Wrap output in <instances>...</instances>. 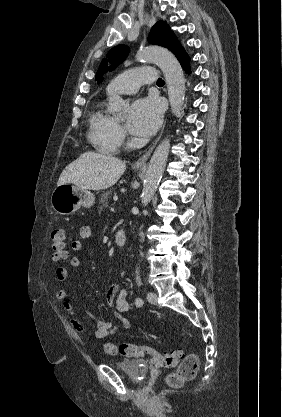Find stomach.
<instances>
[{
  "label": "stomach",
  "mask_w": 282,
  "mask_h": 417,
  "mask_svg": "<svg viewBox=\"0 0 282 417\" xmlns=\"http://www.w3.org/2000/svg\"><path fill=\"white\" fill-rule=\"evenodd\" d=\"M94 202L93 192L87 188L69 184V182L59 184L51 194V206L58 215H73L81 209V206H84V209H90Z\"/></svg>",
  "instance_id": "1"
}]
</instances>
